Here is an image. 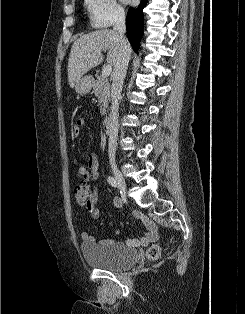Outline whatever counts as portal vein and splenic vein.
Returning a JSON list of instances; mask_svg holds the SVG:
<instances>
[{"mask_svg": "<svg viewBox=\"0 0 245 314\" xmlns=\"http://www.w3.org/2000/svg\"><path fill=\"white\" fill-rule=\"evenodd\" d=\"M96 53H100V51H96ZM112 72V65L107 64L103 66L102 69V77L107 78Z\"/></svg>", "mask_w": 245, "mask_h": 314, "instance_id": "1", "label": "portal vein and splenic vein"}]
</instances>
